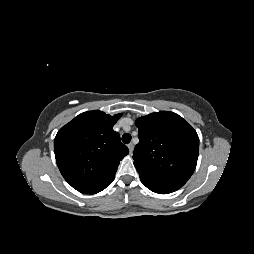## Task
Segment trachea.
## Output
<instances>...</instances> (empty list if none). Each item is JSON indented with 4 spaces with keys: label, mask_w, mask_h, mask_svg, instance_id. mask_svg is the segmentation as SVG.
Masks as SVG:
<instances>
[{
    "label": "trachea",
    "mask_w": 254,
    "mask_h": 254,
    "mask_svg": "<svg viewBox=\"0 0 254 254\" xmlns=\"http://www.w3.org/2000/svg\"><path fill=\"white\" fill-rule=\"evenodd\" d=\"M122 141H123V143H125V144L130 143V141H131V135L128 134V133L124 134V135L122 136Z\"/></svg>",
    "instance_id": "trachea-1"
}]
</instances>
